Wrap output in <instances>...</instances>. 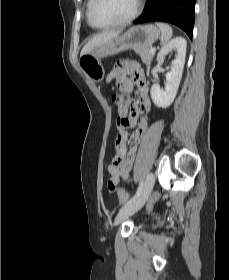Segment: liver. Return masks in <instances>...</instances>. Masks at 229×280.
<instances>
[{"instance_id":"obj_1","label":"liver","mask_w":229,"mask_h":280,"mask_svg":"<svg viewBox=\"0 0 229 280\" xmlns=\"http://www.w3.org/2000/svg\"><path fill=\"white\" fill-rule=\"evenodd\" d=\"M121 32L122 30H113V31H106L98 35H95L84 45V47L81 50L80 56L87 54L95 47L102 45L103 43L119 36Z\"/></svg>"}]
</instances>
